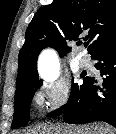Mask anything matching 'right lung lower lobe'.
I'll use <instances>...</instances> for the list:
<instances>
[{
    "instance_id": "98d812e1",
    "label": "right lung lower lobe",
    "mask_w": 116,
    "mask_h": 134,
    "mask_svg": "<svg viewBox=\"0 0 116 134\" xmlns=\"http://www.w3.org/2000/svg\"><path fill=\"white\" fill-rule=\"evenodd\" d=\"M103 76L102 88L88 78L82 92L72 102L49 117L62 115L66 123L86 124L103 121L116 128V40L91 55Z\"/></svg>"
}]
</instances>
